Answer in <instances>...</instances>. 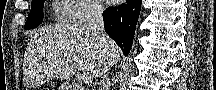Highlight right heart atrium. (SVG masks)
<instances>
[{
	"label": "right heart atrium",
	"instance_id": "d8ad5b80",
	"mask_svg": "<svg viewBox=\"0 0 216 90\" xmlns=\"http://www.w3.org/2000/svg\"><path fill=\"white\" fill-rule=\"evenodd\" d=\"M67 6H77L72 8L73 13L70 15V20H90L99 13L98 2L95 0H62Z\"/></svg>",
	"mask_w": 216,
	"mask_h": 90
}]
</instances>
